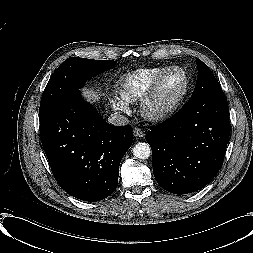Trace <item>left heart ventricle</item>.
<instances>
[{"instance_id":"b2bd125f","label":"left heart ventricle","mask_w":253,"mask_h":253,"mask_svg":"<svg viewBox=\"0 0 253 253\" xmlns=\"http://www.w3.org/2000/svg\"><path fill=\"white\" fill-rule=\"evenodd\" d=\"M184 87V76L180 71H172L161 82L154 107L165 108L170 106Z\"/></svg>"}]
</instances>
